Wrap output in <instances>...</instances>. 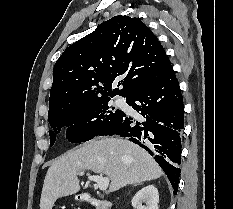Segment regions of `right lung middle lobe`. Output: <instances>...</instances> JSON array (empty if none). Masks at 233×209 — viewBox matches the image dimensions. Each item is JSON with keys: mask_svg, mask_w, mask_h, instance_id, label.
<instances>
[{"mask_svg": "<svg viewBox=\"0 0 233 209\" xmlns=\"http://www.w3.org/2000/svg\"><path fill=\"white\" fill-rule=\"evenodd\" d=\"M110 98L93 102L70 105L55 109L48 114L53 131H49L50 146L56 140V134L68 126L66 137L69 142L80 143L91 140L113 125L123 114L109 105Z\"/></svg>", "mask_w": 233, "mask_h": 209, "instance_id": "right-lung-middle-lobe-1", "label": "right lung middle lobe"}]
</instances>
